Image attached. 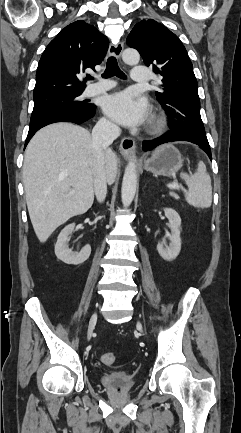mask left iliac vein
Instances as JSON below:
<instances>
[{
	"mask_svg": "<svg viewBox=\"0 0 241 433\" xmlns=\"http://www.w3.org/2000/svg\"><path fill=\"white\" fill-rule=\"evenodd\" d=\"M138 328L142 331V325L140 322L137 323Z\"/></svg>",
	"mask_w": 241,
	"mask_h": 433,
	"instance_id": "1",
	"label": "left iliac vein"
}]
</instances>
